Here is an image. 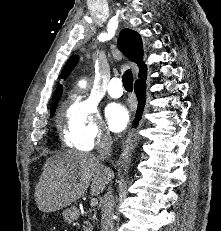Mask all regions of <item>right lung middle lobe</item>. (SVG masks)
I'll list each match as a JSON object with an SVG mask.
<instances>
[{
    "label": "right lung middle lobe",
    "mask_w": 221,
    "mask_h": 231,
    "mask_svg": "<svg viewBox=\"0 0 221 231\" xmlns=\"http://www.w3.org/2000/svg\"><path fill=\"white\" fill-rule=\"evenodd\" d=\"M55 108H56V105H54L53 107H51V111H50L51 116L53 115V113L55 111Z\"/></svg>",
    "instance_id": "1"
}]
</instances>
